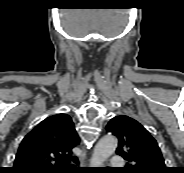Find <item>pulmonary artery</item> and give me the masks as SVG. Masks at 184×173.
<instances>
[{
  "label": "pulmonary artery",
  "mask_w": 184,
  "mask_h": 173,
  "mask_svg": "<svg viewBox=\"0 0 184 173\" xmlns=\"http://www.w3.org/2000/svg\"><path fill=\"white\" fill-rule=\"evenodd\" d=\"M111 166L121 168L124 166V161L120 156H113L110 162Z\"/></svg>",
  "instance_id": "obj_1"
}]
</instances>
